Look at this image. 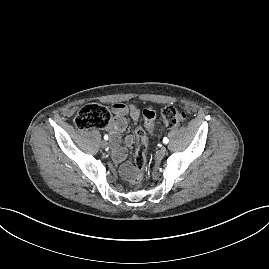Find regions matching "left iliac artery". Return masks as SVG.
Returning <instances> with one entry per match:
<instances>
[{"instance_id": "obj_1", "label": "left iliac artery", "mask_w": 269, "mask_h": 269, "mask_svg": "<svg viewBox=\"0 0 269 269\" xmlns=\"http://www.w3.org/2000/svg\"><path fill=\"white\" fill-rule=\"evenodd\" d=\"M168 142H169V139H168L167 137H164V138H163V143H164V144H167Z\"/></svg>"}]
</instances>
